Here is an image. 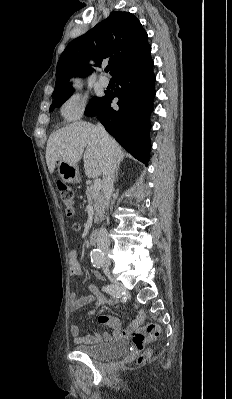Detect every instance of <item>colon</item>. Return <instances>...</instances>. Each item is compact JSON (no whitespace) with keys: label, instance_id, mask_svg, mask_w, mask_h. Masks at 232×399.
Segmentation results:
<instances>
[{"label":"colon","instance_id":"5ec220e1","mask_svg":"<svg viewBox=\"0 0 232 399\" xmlns=\"http://www.w3.org/2000/svg\"><path fill=\"white\" fill-rule=\"evenodd\" d=\"M58 191H61V201L71 204L67 205V218H72V209L76 208V201L73 200V186L66 185V180H56ZM157 323L152 321L150 326H138L137 330H132L131 334V353H144V347L148 346V341H153L154 337H161V330H156Z\"/></svg>","mask_w":232,"mask_h":399}]
</instances>
